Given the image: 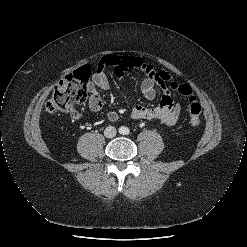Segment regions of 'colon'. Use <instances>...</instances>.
I'll list each match as a JSON object with an SVG mask.
<instances>
[{
  "mask_svg": "<svg viewBox=\"0 0 247 247\" xmlns=\"http://www.w3.org/2000/svg\"><path fill=\"white\" fill-rule=\"evenodd\" d=\"M90 73V67L83 66L61 80L46 103V111L48 113L73 112L82 106L87 97L86 85ZM169 88L188 100L189 123L191 126H198L201 123L202 109L190 86L171 83Z\"/></svg>",
  "mask_w": 247,
  "mask_h": 247,
  "instance_id": "colon-1",
  "label": "colon"
}]
</instances>
